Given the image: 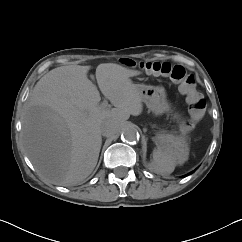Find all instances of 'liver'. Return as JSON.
<instances>
[{
  "label": "liver",
  "instance_id": "liver-1",
  "mask_svg": "<svg viewBox=\"0 0 242 242\" xmlns=\"http://www.w3.org/2000/svg\"><path fill=\"white\" fill-rule=\"evenodd\" d=\"M90 66L67 65L44 75L35 85L22 116V138L39 175L62 186L82 183L94 170L102 144V122L113 118L116 134L143 111L140 85L130 77L141 72L115 63L96 68L102 94L115 107L101 108L97 87L88 79Z\"/></svg>",
  "mask_w": 242,
  "mask_h": 242
}]
</instances>
